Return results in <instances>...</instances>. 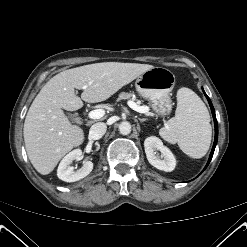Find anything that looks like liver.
I'll return each mask as SVG.
<instances>
[{"instance_id":"1","label":"liver","mask_w":247,"mask_h":247,"mask_svg":"<svg viewBox=\"0 0 247 247\" xmlns=\"http://www.w3.org/2000/svg\"><path fill=\"white\" fill-rule=\"evenodd\" d=\"M153 67L103 62L68 69L51 78L35 97L24 122L25 148L33 167L47 175L66 153L83 143V129L72 125L62 109L76 111L83 101H105ZM75 88L83 90L81 98Z\"/></svg>"}]
</instances>
